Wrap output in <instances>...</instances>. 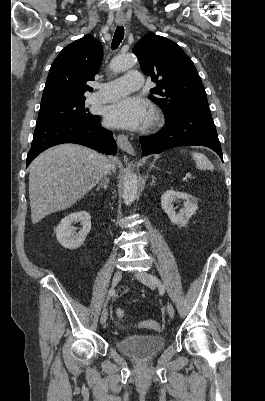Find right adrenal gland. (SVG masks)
Masks as SVG:
<instances>
[{
	"label": "right adrenal gland",
	"instance_id": "2a0ac1e0",
	"mask_svg": "<svg viewBox=\"0 0 265 401\" xmlns=\"http://www.w3.org/2000/svg\"><path fill=\"white\" fill-rule=\"evenodd\" d=\"M108 184H109V178H104V180H102V182H99V186H97V188H95V190H100V188H105V190H107L108 188Z\"/></svg>",
	"mask_w": 265,
	"mask_h": 401
}]
</instances>
